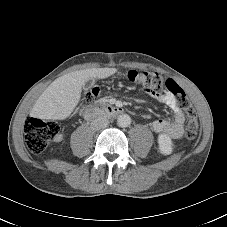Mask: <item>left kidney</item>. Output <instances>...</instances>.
Masks as SVG:
<instances>
[{
  "label": "left kidney",
  "instance_id": "left-kidney-1",
  "mask_svg": "<svg viewBox=\"0 0 227 227\" xmlns=\"http://www.w3.org/2000/svg\"><path fill=\"white\" fill-rule=\"evenodd\" d=\"M158 144L161 153L163 154H171L173 150V143L171 138L166 134H160L158 136Z\"/></svg>",
  "mask_w": 227,
  "mask_h": 227
}]
</instances>
